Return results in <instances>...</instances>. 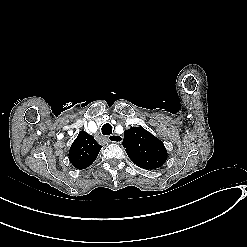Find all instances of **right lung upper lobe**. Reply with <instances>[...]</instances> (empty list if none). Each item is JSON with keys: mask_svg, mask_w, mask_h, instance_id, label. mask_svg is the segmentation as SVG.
<instances>
[{"mask_svg": "<svg viewBox=\"0 0 247 247\" xmlns=\"http://www.w3.org/2000/svg\"><path fill=\"white\" fill-rule=\"evenodd\" d=\"M101 147L93 136L81 131L71 145L69 160L75 168L85 169L95 161Z\"/></svg>", "mask_w": 247, "mask_h": 247, "instance_id": "right-lung-upper-lobe-1", "label": "right lung upper lobe"}]
</instances>
